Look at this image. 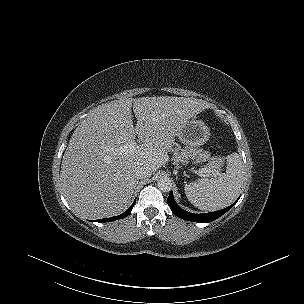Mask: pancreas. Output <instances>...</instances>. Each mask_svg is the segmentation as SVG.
Segmentation results:
<instances>
[{
    "mask_svg": "<svg viewBox=\"0 0 304 304\" xmlns=\"http://www.w3.org/2000/svg\"><path fill=\"white\" fill-rule=\"evenodd\" d=\"M193 151L189 149H175L173 159L174 163L178 167L180 163L186 164L189 161L191 153ZM194 153L199 154L203 159H208L207 169L219 168L223 164V159L219 157H210L207 152L201 153L199 150L194 151Z\"/></svg>",
    "mask_w": 304,
    "mask_h": 304,
    "instance_id": "1",
    "label": "pancreas"
}]
</instances>
